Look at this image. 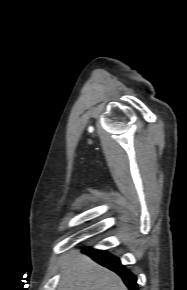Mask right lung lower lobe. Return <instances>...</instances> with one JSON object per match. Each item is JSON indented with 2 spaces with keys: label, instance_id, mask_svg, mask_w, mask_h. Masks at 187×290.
I'll list each match as a JSON object with an SVG mask.
<instances>
[{
  "label": "right lung lower lobe",
  "instance_id": "98d812e1",
  "mask_svg": "<svg viewBox=\"0 0 187 290\" xmlns=\"http://www.w3.org/2000/svg\"><path fill=\"white\" fill-rule=\"evenodd\" d=\"M88 254L101 265L116 272L123 279L129 290H138L137 278L129 270H127L120 260L103 250L87 249Z\"/></svg>",
  "mask_w": 187,
  "mask_h": 290
}]
</instances>
